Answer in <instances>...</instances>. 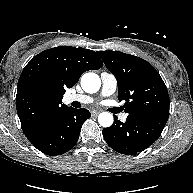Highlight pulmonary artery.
Segmentation results:
<instances>
[{
  "label": "pulmonary artery",
  "mask_w": 193,
  "mask_h": 193,
  "mask_svg": "<svg viewBox=\"0 0 193 193\" xmlns=\"http://www.w3.org/2000/svg\"><path fill=\"white\" fill-rule=\"evenodd\" d=\"M101 78V91L100 96H110L112 95L117 89V80L116 77L109 73V72H102L100 75ZM95 100L94 97L89 95H82V94H70L65 97L66 103L72 102H79L82 104H89ZM127 118L126 113H122L120 115V119L125 121Z\"/></svg>",
  "instance_id": "e3ab8cb5"
}]
</instances>
